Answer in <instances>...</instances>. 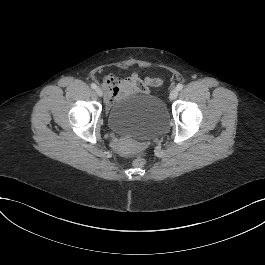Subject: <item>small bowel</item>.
<instances>
[{
	"label": "small bowel",
	"mask_w": 265,
	"mask_h": 265,
	"mask_svg": "<svg viewBox=\"0 0 265 265\" xmlns=\"http://www.w3.org/2000/svg\"><path fill=\"white\" fill-rule=\"evenodd\" d=\"M154 84L156 81L153 79H142L137 73H132L128 77L108 75L102 82L107 104L130 94L148 93Z\"/></svg>",
	"instance_id": "c3829d8e"
}]
</instances>
